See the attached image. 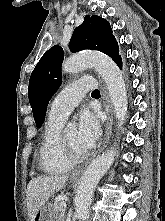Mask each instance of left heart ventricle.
Masks as SVG:
<instances>
[{"label": "left heart ventricle", "instance_id": "left-heart-ventricle-1", "mask_svg": "<svg viewBox=\"0 0 165 221\" xmlns=\"http://www.w3.org/2000/svg\"><path fill=\"white\" fill-rule=\"evenodd\" d=\"M65 136L73 148V150L78 154H83L88 151L79 141L76 129H70L65 132Z\"/></svg>", "mask_w": 165, "mask_h": 221}]
</instances>
